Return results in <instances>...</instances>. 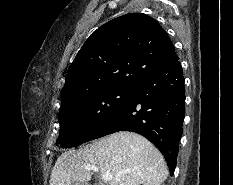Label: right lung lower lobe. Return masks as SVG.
Listing matches in <instances>:
<instances>
[{
  "mask_svg": "<svg viewBox=\"0 0 233 185\" xmlns=\"http://www.w3.org/2000/svg\"><path fill=\"white\" fill-rule=\"evenodd\" d=\"M184 105V76L177 59L135 82L125 101L87 141L120 130L137 132L161 151L172 175L182 136Z\"/></svg>",
  "mask_w": 233,
  "mask_h": 185,
  "instance_id": "right-lung-lower-lobe-1",
  "label": "right lung lower lobe"
}]
</instances>
